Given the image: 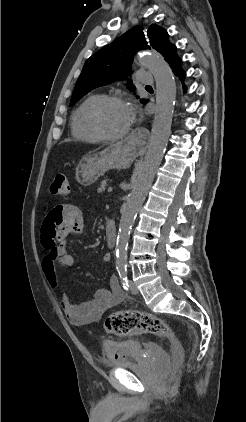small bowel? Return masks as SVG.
Listing matches in <instances>:
<instances>
[{
	"label": "small bowel",
	"instance_id": "1",
	"mask_svg": "<svg viewBox=\"0 0 246 422\" xmlns=\"http://www.w3.org/2000/svg\"><path fill=\"white\" fill-rule=\"evenodd\" d=\"M85 226L82 211L75 205L56 206L48 212L41 226V242L46 251L42 267L44 275L53 289L59 288L58 266H74V257L66 250V240L82 232ZM104 261L111 257L105 254ZM124 299L123 290L116 276H111L109 287L98 289L93 298L79 304L61 295V307L67 319L75 324L97 323L104 313L119 305Z\"/></svg>",
	"mask_w": 246,
	"mask_h": 422
}]
</instances>
